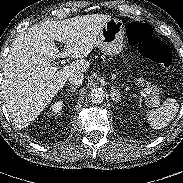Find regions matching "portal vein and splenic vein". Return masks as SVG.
Returning a JSON list of instances; mask_svg holds the SVG:
<instances>
[{
	"instance_id": "obj_1",
	"label": "portal vein and splenic vein",
	"mask_w": 183,
	"mask_h": 183,
	"mask_svg": "<svg viewBox=\"0 0 183 183\" xmlns=\"http://www.w3.org/2000/svg\"><path fill=\"white\" fill-rule=\"evenodd\" d=\"M50 69L53 70V71H57L58 67L57 66H53V67L51 66ZM140 94L144 97L145 102L148 103V98H147L148 92H147V89L145 88L144 90L140 91Z\"/></svg>"
}]
</instances>
